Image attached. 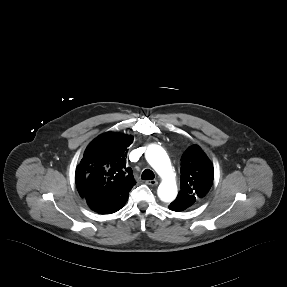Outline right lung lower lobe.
Instances as JSON below:
<instances>
[{
    "mask_svg": "<svg viewBox=\"0 0 287 287\" xmlns=\"http://www.w3.org/2000/svg\"><path fill=\"white\" fill-rule=\"evenodd\" d=\"M129 191L118 190L112 194L85 196L88 206L99 214H111L121 209L127 201Z\"/></svg>",
    "mask_w": 287,
    "mask_h": 287,
    "instance_id": "obj_1",
    "label": "right lung lower lobe"
}]
</instances>
